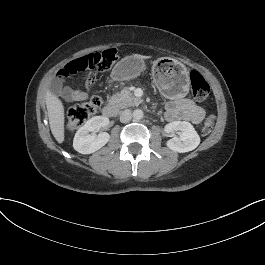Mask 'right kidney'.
I'll return each instance as SVG.
<instances>
[{
    "label": "right kidney",
    "instance_id": "1",
    "mask_svg": "<svg viewBox=\"0 0 265 265\" xmlns=\"http://www.w3.org/2000/svg\"><path fill=\"white\" fill-rule=\"evenodd\" d=\"M109 124L104 116H95L89 119L75 134L73 147L81 154H91L102 148L110 139L107 132H99L102 127Z\"/></svg>",
    "mask_w": 265,
    "mask_h": 265
}]
</instances>
